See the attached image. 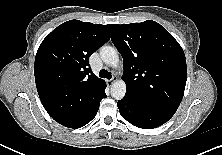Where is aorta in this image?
<instances>
[{
  "label": "aorta",
  "mask_w": 222,
  "mask_h": 155,
  "mask_svg": "<svg viewBox=\"0 0 222 155\" xmlns=\"http://www.w3.org/2000/svg\"><path fill=\"white\" fill-rule=\"evenodd\" d=\"M100 56L104 63L116 67L119 63V55L116 48L112 46H103L100 49ZM126 93V84L123 80H116L111 86V96L116 100H121Z\"/></svg>",
  "instance_id": "762f6f07"
}]
</instances>
